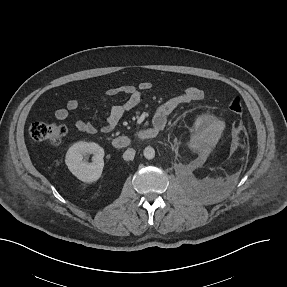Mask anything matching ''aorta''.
Here are the masks:
<instances>
[{"mask_svg":"<svg viewBox=\"0 0 287 287\" xmlns=\"http://www.w3.org/2000/svg\"><path fill=\"white\" fill-rule=\"evenodd\" d=\"M144 157L146 158V159H153L154 157H155V150H154V148H152V147H150V146H148V147H146L145 149H144Z\"/></svg>","mask_w":287,"mask_h":287,"instance_id":"aorta-1","label":"aorta"}]
</instances>
